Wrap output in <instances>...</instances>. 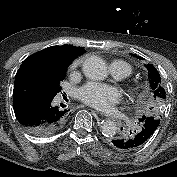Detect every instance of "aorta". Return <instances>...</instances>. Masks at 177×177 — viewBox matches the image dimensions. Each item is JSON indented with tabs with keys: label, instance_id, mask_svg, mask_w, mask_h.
Here are the masks:
<instances>
[{
	"label": "aorta",
	"instance_id": "1",
	"mask_svg": "<svg viewBox=\"0 0 177 177\" xmlns=\"http://www.w3.org/2000/svg\"><path fill=\"white\" fill-rule=\"evenodd\" d=\"M83 72L91 80H102L107 75V66L105 61L99 56H90L83 63ZM102 134L105 136H114L117 127L111 120H106L101 125Z\"/></svg>",
	"mask_w": 177,
	"mask_h": 177
}]
</instances>
